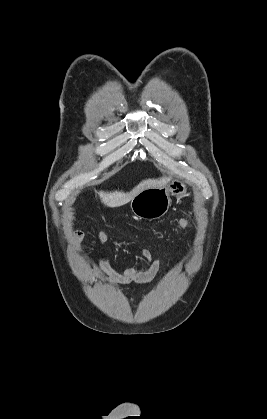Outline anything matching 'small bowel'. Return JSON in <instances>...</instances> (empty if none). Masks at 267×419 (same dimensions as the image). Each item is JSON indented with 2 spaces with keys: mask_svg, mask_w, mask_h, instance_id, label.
Returning <instances> with one entry per match:
<instances>
[{
  "mask_svg": "<svg viewBox=\"0 0 267 419\" xmlns=\"http://www.w3.org/2000/svg\"><path fill=\"white\" fill-rule=\"evenodd\" d=\"M84 239V232L77 230L73 233L72 243L77 247ZM108 239L106 232L98 235V244L103 245ZM144 259L143 266L128 267L122 272L115 270L105 258H101L99 267L101 274L98 276L100 280L109 282L114 286L135 283H146L151 281L160 271L161 264L158 259H152L150 250L144 248L141 250Z\"/></svg>",
  "mask_w": 267,
  "mask_h": 419,
  "instance_id": "obj_1",
  "label": "small bowel"
}]
</instances>
